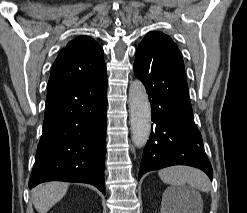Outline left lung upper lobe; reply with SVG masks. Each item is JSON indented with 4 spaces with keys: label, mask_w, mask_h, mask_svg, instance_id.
I'll use <instances>...</instances> for the list:
<instances>
[{
    "label": "left lung upper lobe",
    "mask_w": 247,
    "mask_h": 213,
    "mask_svg": "<svg viewBox=\"0 0 247 213\" xmlns=\"http://www.w3.org/2000/svg\"><path fill=\"white\" fill-rule=\"evenodd\" d=\"M171 61L183 64L182 54L172 39L161 32H149L136 50L139 62Z\"/></svg>",
    "instance_id": "obj_1"
}]
</instances>
